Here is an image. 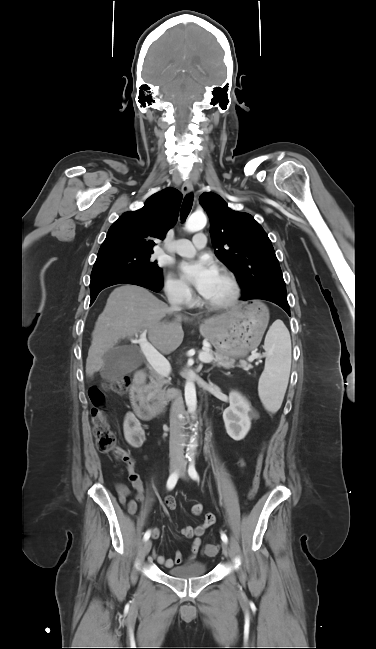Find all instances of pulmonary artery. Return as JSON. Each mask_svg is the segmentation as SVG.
Segmentation results:
<instances>
[{
  "instance_id": "e3ab8cb5",
  "label": "pulmonary artery",
  "mask_w": 376,
  "mask_h": 649,
  "mask_svg": "<svg viewBox=\"0 0 376 649\" xmlns=\"http://www.w3.org/2000/svg\"><path fill=\"white\" fill-rule=\"evenodd\" d=\"M206 243H207L206 235L200 232L193 237L192 241H189L187 239L176 240L168 248V250L170 252L176 253L181 256H192L198 250L204 248L206 246Z\"/></svg>"
}]
</instances>
